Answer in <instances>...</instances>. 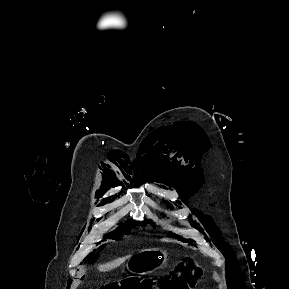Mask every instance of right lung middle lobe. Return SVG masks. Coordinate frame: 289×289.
Returning a JSON list of instances; mask_svg holds the SVG:
<instances>
[{
    "instance_id": "dd1d6c3e",
    "label": "right lung middle lobe",
    "mask_w": 289,
    "mask_h": 289,
    "mask_svg": "<svg viewBox=\"0 0 289 289\" xmlns=\"http://www.w3.org/2000/svg\"><path fill=\"white\" fill-rule=\"evenodd\" d=\"M139 223L136 221L129 220L126 224L121 225L117 230L111 232L110 234L105 235L104 238H112L114 239L116 236H120L125 233H129L132 228L137 226Z\"/></svg>"
}]
</instances>
